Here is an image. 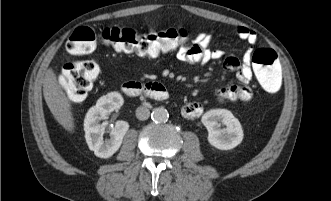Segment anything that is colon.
Wrapping results in <instances>:
<instances>
[{"label":"colon","instance_id":"5ec220e1","mask_svg":"<svg viewBox=\"0 0 331 201\" xmlns=\"http://www.w3.org/2000/svg\"><path fill=\"white\" fill-rule=\"evenodd\" d=\"M98 39L119 52L157 56L186 44L188 33L182 28L138 33L131 28L117 26L105 27L100 31L79 27L69 38L67 51L72 55L90 53ZM252 63L260 85L268 92H277L282 84V67L277 53L270 48L257 49L252 55ZM99 72L94 60L72 61L63 66L60 83L71 100L80 101L92 88Z\"/></svg>","mask_w":331,"mask_h":201}]
</instances>
